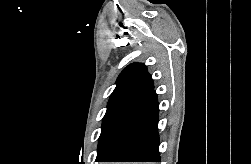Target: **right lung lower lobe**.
Returning a JSON list of instances; mask_svg holds the SVG:
<instances>
[{
  "mask_svg": "<svg viewBox=\"0 0 251 164\" xmlns=\"http://www.w3.org/2000/svg\"><path fill=\"white\" fill-rule=\"evenodd\" d=\"M158 113L154 88L143 92L114 123L96 161L159 162Z\"/></svg>",
  "mask_w": 251,
  "mask_h": 164,
  "instance_id": "98d812e1",
  "label": "right lung lower lobe"
}]
</instances>
